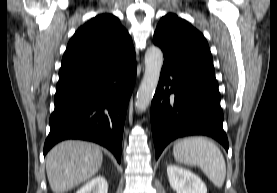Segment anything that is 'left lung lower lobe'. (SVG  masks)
I'll return each instance as SVG.
<instances>
[{
    "instance_id": "left-lung-lower-lobe-1",
    "label": "left lung lower lobe",
    "mask_w": 277,
    "mask_h": 193,
    "mask_svg": "<svg viewBox=\"0 0 277 193\" xmlns=\"http://www.w3.org/2000/svg\"><path fill=\"white\" fill-rule=\"evenodd\" d=\"M156 159L179 137L207 135L228 151L215 71L164 61L151 103Z\"/></svg>"
}]
</instances>
